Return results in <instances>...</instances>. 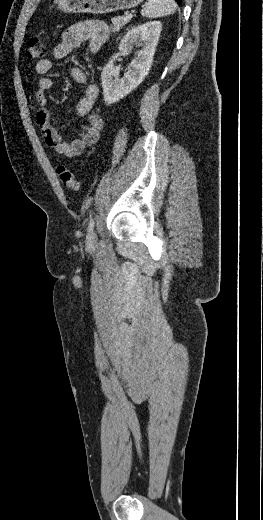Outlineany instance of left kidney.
Listing matches in <instances>:
<instances>
[{
  "label": "left kidney",
  "instance_id": "obj_1",
  "mask_svg": "<svg viewBox=\"0 0 263 520\" xmlns=\"http://www.w3.org/2000/svg\"><path fill=\"white\" fill-rule=\"evenodd\" d=\"M162 24L152 21L132 28L121 40L120 53L131 51L133 46L141 47L137 57L131 62L130 69L121 79L119 69L114 67V61L120 55L115 54L104 67L102 77L103 97L107 105H111L133 91L148 75L153 63Z\"/></svg>",
  "mask_w": 263,
  "mask_h": 520
}]
</instances>
